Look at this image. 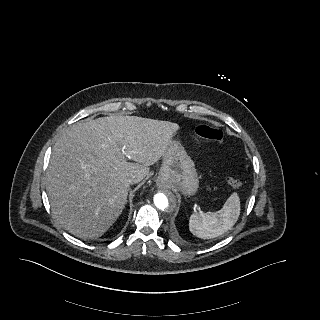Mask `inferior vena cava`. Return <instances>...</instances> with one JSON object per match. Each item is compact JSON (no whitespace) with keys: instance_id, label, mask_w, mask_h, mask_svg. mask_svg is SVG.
Returning a JSON list of instances; mask_svg holds the SVG:
<instances>
[{"instance_id":"inferior-vena-cava-1","label":"inferior vena cava","mask_w":320,"mask_h":320,"mask_svg":"<svg viewBox=\"0 0 320 320\" xmlns=\"http://www.w3.org/2000/svg\"><path fill=\"white\" fill-rule=\"evenodd\" d=\"M127 181L129 184L135 183V179L133 177H129Z\"/></svg>"}]
</instances>
